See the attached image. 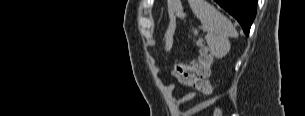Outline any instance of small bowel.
Segmentation results:
<instances>
[{"instance_id": "1", "label": "small bowel", "mask_w": 305, "mask_h": 116, "mask_svg": "<svg viewBox=\"0 0 305 116\" xmlns=\"http://www.w3.org/2000/svg\"><path fill=\"white\" fill-rule=\"evenodd\" d=\"M194 97H195V93L190 92V93H187L186 95H184L182 98H180L179 102L185 103V102L192 100ZM205 106H206L205 103L198 104V105L190 108L185 113V116H192V115L196 114L198 111H200L202 108H204Z\"/></svg>"}]
</instances>
